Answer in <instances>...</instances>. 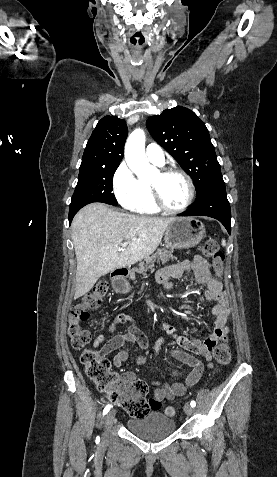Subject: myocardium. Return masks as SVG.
I'll return each instance as SVG.
<instances>
[{"label":"myocardium","mask_w":277,"mask_h":477,"mask_svg":"<svg viewBox=\"0 0 277 477\" xmlns=\"http://www.w3.org/2000/svg\"><path fill=\"white\" fill-rule=\"evenodd\" d=\"M158 173L161 176H167L171 174H177L182 176L185 179L188 186V196L185 203L182 206H180L179 208H170L164 203L161 197V194L159 192L158 186L154 183H150L149 188H150L151 195L156 207L160 211L167 214H179L186 211L193 203L194 197H195V185L191 176L186 171L176 167L165 168L160 170Z\"/></svg>","instance_id":"myocardium-1"}]
</instances>
